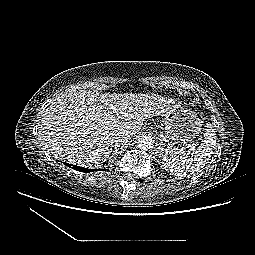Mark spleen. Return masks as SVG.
Returning <instances> with one entry per match:
<instances>
[{
  "label": "spleen",
  "instance_id": "spleen-1",
  "mask_svg": "<svg viewBox=\"0 0 255 255\" xmlns=\"http://www.w3.org/2000/svg\"><path fill=\"white\" fill-rule=\"evenodd\" d=\"M216 145V133L211 123H207L204 140L197 150L192 152L170 148L165 151L162 163L166 171L175 176H186L200 172L209 162Z\"/></svg>",
  "mask_w": 255,
  "mask_h": 255
}]
</instances>
